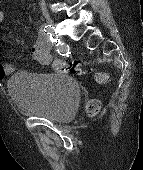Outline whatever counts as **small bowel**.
<instances>
[{"label": "small bowel", "mask_w": 143, "mask_h": 170, "mask_svg": "<svg viewBox=\"0 0 143 170\" xmlns=\"http://www.w3.org/2000/svg\"><path fill=\"white\" fill-rule=\"evenodd\" d=\"M1 2V0H0ZM5 14L0 10V24L4 21ZM32 54L36 60L43 64H49L51 62V55L49 51L42 45L41 42H35L31 47ZM53 67L57 70V63L53 64ZM14 72V67L9 63L0 62V79H4L8 75Z\"/></svg>", "instance_id": "1"}]
</instances>
